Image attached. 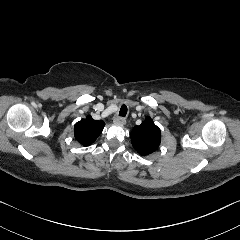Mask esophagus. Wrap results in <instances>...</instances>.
Segmentation results:
<instances>
[{
  "label": "esophagus",
  "instance_id": "esophagus-1",
  "mask_svg": "<svg viewBox=\"0 0 240 240\" xmlns=\"http://www.w3.org/2000/svg\"><path fill=\"white\" fill-rule=\"evenodd\" d=\"M113 122L115 124H120V125H124L126 123V120L124 117L118 116V117H114L113 118Z\"/></svg>",
  "mask_w": 240,
  "mask_h": 240
}]
</instances>
